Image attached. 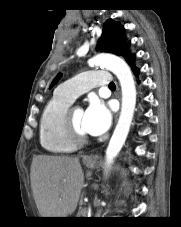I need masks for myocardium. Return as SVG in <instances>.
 <instances>
[{"instance_id":"obj_1","label":"myocardium","mask_w":181,"mask_h":227,"mask_svg":"<svg viewBox=\"0 0 181 227\" xmlns=\"http://www.w3.org/2000/svg\"><path fill=\"white\" fill-rule=\"evenodd\" d=\"M75 108H77V107L70 106L67 109V111L65 113V118H64V126H65V130H66L68 136L70 137V139L76 145H82V144H85L86 142H88L89 138L85 133L79 131L74 124L72 113Z\"/></svg>"}]
</instances>
